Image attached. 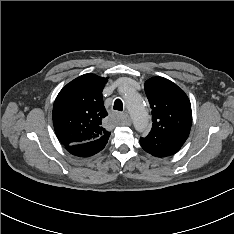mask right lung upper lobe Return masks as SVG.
<instances>
[{
    "label": "right lung upper lobe",
    "mask_w": 234,
    "mask_h": 234,
    "mask_svg": "<svg viewBox=\"0 0 234 234\" xmlns=\"http://www.w3.org/2000/svg\"><path fill=\"white\" fill-rule=\"evenodd\" d=\"M107 79L84 74L59 92L53 106V125L65 147L97 139L108 140L110 132L104 126L108 114L102 99Z\"/></svg>",
    "instance_id": "cb5924a9"
}]
</instances>
